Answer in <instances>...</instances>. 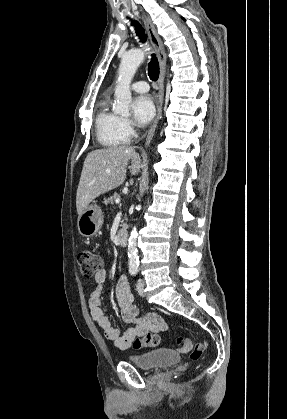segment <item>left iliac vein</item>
Here are the masks:
<instances>
[{
	"mask_svg": "<svg viewBox=\"0 0 287 419\" xmlns=\"http://www.w3.org/2000/svg\"><path fill=\"white\" fill-rule=\"evenodd\" d=\"M144 284H145V282H144L143 279H139L137 281L136 288H137V292L139 293L140 296H144Z\"/></svg>",
	"mask_w": 287,
	"mask_h": 419,
	"instance_id": "obj_1",
	"label": "left iliac vein"
}]
</instances>
